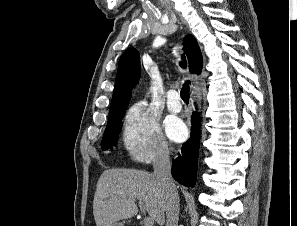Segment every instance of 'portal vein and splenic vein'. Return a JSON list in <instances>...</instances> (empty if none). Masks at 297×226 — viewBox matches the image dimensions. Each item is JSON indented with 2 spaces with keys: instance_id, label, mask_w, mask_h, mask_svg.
I'll use <instances>...</instances> for the list:
<instances>
[{
  "instance_id": "18ae733b",
  "label": "portal vein and splenic vein",
  "mask_w": 297,
  "mask_h": 226,
  "mask_svg": "<svg viewBox=\"0 0 297 226\" xmlns=\"http://www.w3.org/2000/svg\"><path fill=\"white\" fill-rule=\"evenodd\" d=\"M139 207L142 212H145V205L142 200H139ZM143 222L145 226H152L154 224V219L151 216H148L143 219Z\"/></svg>"
}]
</instances>
